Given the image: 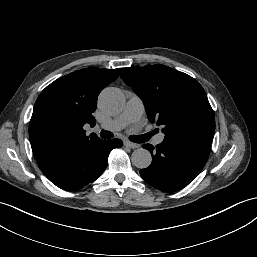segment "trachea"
Listing matches in <instances>:
<instances>
[{
  "label": "trachea",
  "mask_w": 257,
  "mask_h": 257,
  "mask_svg": "<svg viewBox=\"0 0 257 257\" xmlns=\"http://www.w3.org/2000/svg\"><path fill=\"white\" fill-rule=\"evenodd\" d=\"M151 135L152 134H146V135H141V136L140 135L139 136H130L129 139L135 143H142V142L147 141L151 137ZM100 137L102 139H110L113 137V133L110 131L102 130L100 132Z\"/></svg>",
  "instance_id": "3493384b"
}]
</instances>
